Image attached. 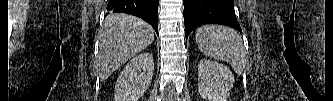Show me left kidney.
<instances>
[{
	"mask_svg": "<svg viewBox=\"0 0 333 101\" xmlns=\"http://www.w3.org/2000/svg\"><path fill=\"white\" fill-rule=\"evenodd\" d=\"M235 81L231 70L218 62L201 60L198 64V91L208 101H226Z\"/></svg>",
	"mask_w": 333,
	"mask_h": 101,
	"instance_id": "5707ae66",
	"label": "left kidney"
}]
</instances>
